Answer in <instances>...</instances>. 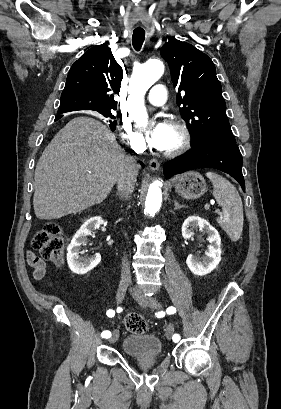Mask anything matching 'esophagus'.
<instances>
[{
  "label": "esophagus",
  "instance_id": "34e87169",
  "mask_svg": "<svg viewBox=\"0 0 281 409\" xmlns=\"http://www.w3.org/2000/svg\"><path fill=\"white\" fill-rule=\"evenodd\" d=\"M159 167H160V163L158 162V160H156V159H151V160L149 161V168H150L151 170H158Z\"/></svg>",
  "mask_w": 281,
  "mask_h": 409
}]
</instances>
